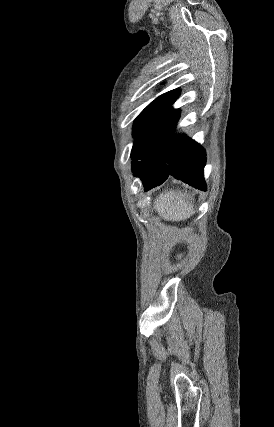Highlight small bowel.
I'll return each mask as SVG.
<instances>
[{
    "instance_id": "1",
    "label": "small bowel",
    "mask_w": 274,
    "mask_h": 427,
    "mask_svg": "<svg viewBox=\"0 0 274 427\" xmlns=\"http://www.w3.org/2000/svg\"><path fill=\"white\" fill-rule=\"evenodd\" d=\"M173 253H174V255H176V256H177V255L181 254V251H179V250H177V249H176V250H174V252H173Z\"/></svg>"
}]
</instances>
